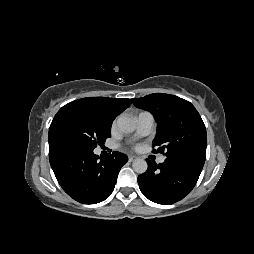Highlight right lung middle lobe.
Masks as SVG:
<instances>
[{
    "instance_id": "dd1d6c3e",
    "label": "right lung middle lobe",
    "mask_w": 254,
    "mask_h": 254,
    "mask_svg": "<svg viewBox=\"0 0 254 254\" xmlns=\"http://www.w3.org/2000/svg\"><path fill=\"white\" fill-rule=\"evenodd\" d=\"M112 122L97 109L84 105L59 110L49 129L48 140L63 141L94 149L111 136Z\"/></svg>"
}]
</instances>
